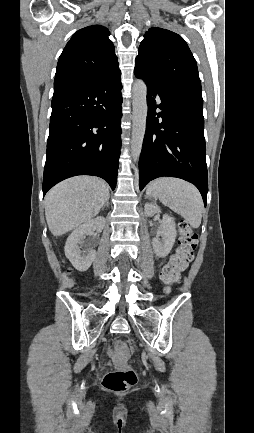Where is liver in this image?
<instances>
[{
    "label": "liver",
    "mask_w": 254,
    "mask_h": 433,
    "mask_svg": "<svg viewBox=\"0 0 254 433\" xmlns=\"http://www.w3.org/2000/svg\"><path fill=\"white\" fill-rule=\"evenodd\" d=\"M108 197V185L97 177L77 176L57 184L45 197L50 232L61 236L91 220Z\"/></svg>",
    "instance_id": "1"
}]
</instances>
